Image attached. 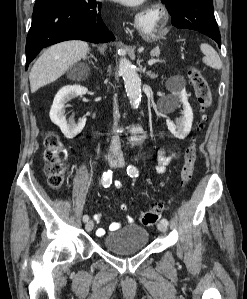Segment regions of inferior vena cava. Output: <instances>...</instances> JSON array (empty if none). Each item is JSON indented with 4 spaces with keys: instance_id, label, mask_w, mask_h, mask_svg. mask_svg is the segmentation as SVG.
<instances>
[{
    "instance_id": "obj_1",
    "label": "inferior vena cava",
    "mask_w": 247,
    "mask_h": 299,
    "mask_svg": "<svg viewBox=\"0 0 247 299\" xmlns=\"http://www.w3.org/2000/svg\"><path fill=\"white\" fill-rule=\"evenodd\" d=\"M114 126H117L118 119L120 117L119 112H118V106L116 99H114ZM121 151V144H120V139L118 135H115L112 137L111 140V146H110V152L113 154L119 153Z\"/></svg>"
}]
</instances>
